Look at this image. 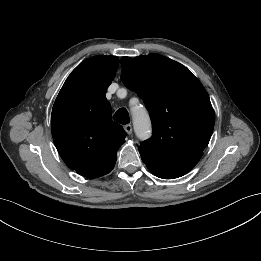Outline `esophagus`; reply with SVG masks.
I'll use <instances>...</instances> for the list:
<instances>
[{
  "mask_svg": "<svg viewBox=\"0 0 261 261\" xmlns=\"http://www.w3.org/2000/svg\"><path fill=\"white\" fill-rule=\"evenodd\" d=\"M124 130L126 131L127 134H132V125L131 124H127L124 126Z\"/></svg>",
  "mask_w": 261,
  "mask_h": 261,
  "instance_id": "obj_1",
  "label": "esophagus"
}]
</instances>
